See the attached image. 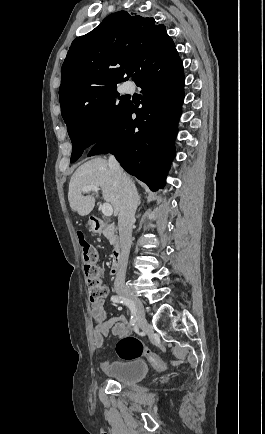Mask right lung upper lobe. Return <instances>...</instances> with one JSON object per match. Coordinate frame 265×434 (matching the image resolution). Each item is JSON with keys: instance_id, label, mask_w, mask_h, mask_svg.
Returning a JSON list of instances; mask_svg holds the SVG:
<instances>
[{"instance_id": "right-lung-upper-lobe-1", "label": "right lung upper lobe", "mask_w": 265, "mask_h": 434, "mask_svg": "<svg viewBox=\"0 0 265 434\" xmlns=\"http://www.w3.org/2000/svg\"><path fill=\"white\" fill-rule=\"evenodd\" d=\"M175 48L153 17L118 11L71 44L61 68L60 100L109 81H135L151 62Z\"/></svg>"}]
</instances>
